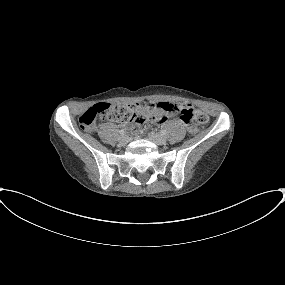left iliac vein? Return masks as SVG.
<instances>
[{"instance_id": "1", "label": "left iliac vein", "mask_w": 285, "mask_h": 285, "mask_svg": "<svg viewBox=\"0 0 285 285\" xmlns=\"http://www.w3.org/2000/svg\"><path fill=\"white\" fill-rule=\"evenodd\" d=\"M148 138L157 145H164L167 142L166 137L160 134L149 133Z\"/></svg>"}]
</instances>
